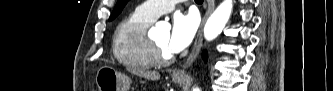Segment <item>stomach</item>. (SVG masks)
I'll use <instances>...</instances> for the list:
<instances>
[{
  "label": "stomach",
  "mask_w": 333,
  "mask_h": 91,
  "mask_svg": "<svg viewBox=\"0 0 333 91\" xmlns=\"http://www.w3.org/2000/svg\"><path fill=\"white\" fill-rule=\"evenodd\" d=\"M183 80L184 78L173 77L176 84H181ZM95 81L99 91H129L132 83L128 76L110 66L100 67Z\"/></svg>",
  "instance_id": "0dacf381"
}]
</instances>
